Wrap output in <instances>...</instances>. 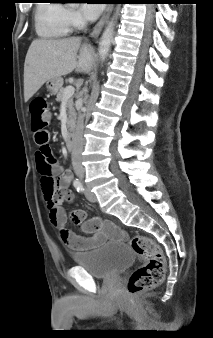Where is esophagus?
<instances>
[{
	"label": "esophagus",
	"instance_id": "1",
	"mask_svg": "<svg viewBox=\"0 0 213 338\" xmlns=\"http://www.w3.org/2000/svg\"><path fill=\"white\" fill-rule=\"evenodd\" d=\"M112 9H113V6L111 4H107L100 20L97 22V24L94 26V28L91 32L92 38L96 39L100 35L104 24L107 22L110 14L112 12Z\"/></svg>",
	"mask_w": 213,
	"mask_h": 338
}]
</instances>
